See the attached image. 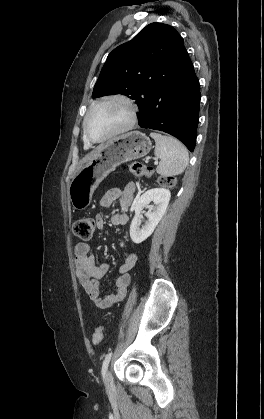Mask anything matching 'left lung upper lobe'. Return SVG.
Returning <instances> with one entry per match:
<instances>
[{
  "label": "left lung upper lobe",
  "instance_id": "obj_1",
  "mask_svg": "<svg viewBox=\"0 0 264 419\" xmlns=\"http://www.w3.org/2000/svg\"><path fill=\"white\" fill-rule=\"evenodd\" d=\"M183 39L171 26L151 23L107 57L94 86L93 98L123 94L143 106L151 85L167 77Z\"/></svg>",
  "mask_w": 264,
  "mask_h": 419
}]
</instances>
